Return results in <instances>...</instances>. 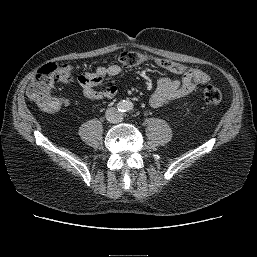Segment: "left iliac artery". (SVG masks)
Masks as SVG:
<instances>
[{
	"label": "left iliac artery",
	"mask_w": 257,
	"mask_h": 257,
	"mask_svg": "<svg viewBox=\"0 0 257 257\" xmlns=\"http://www.w3.org/2000/svg\"><path fill=\"white\" fill-rule=\"evenodd\" d=\"M133 107H134L133 104L131 102H128L127 105H126V110L130 111V110L133 109Z\"/></svg>",
	"instance_id": "1"
}]
</instances>
